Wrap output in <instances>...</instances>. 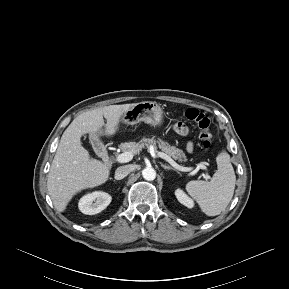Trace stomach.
I'll return each instance as SVG.
<instances>
[{"mask_svg":"<svg viewBox=\"0 0 289 289\" xmlns=\"http://www.w3.org/2000/svg\"><path fill=\"white\" fill-rule=\"evenodd\" d=\"M121 121L126 125H135L141 121L158 127L163 124L164 115L160 105L152 101L136 103L121 117Z\"/></svg>","mask_w":289,"mask_h":289,"instance_id":"stomach-1","label":"stomach"}]
</instances>
